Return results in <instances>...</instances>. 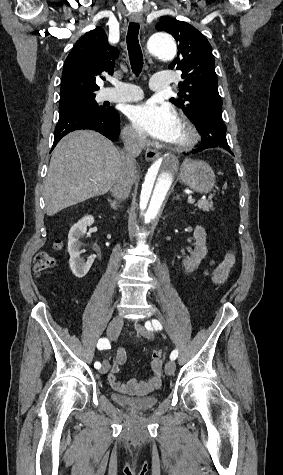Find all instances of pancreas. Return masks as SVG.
<instances>
[{
    "label": "pancreas",
    "instance_id": "pancreas-1",
    "mask_svg": "<svg viewBox=\"0 0 283 475\" xmlns=\"http://www.w3.org/2000/svg\"><path fill=\"white\" fill-rule=\"evenodd\" d=\"M198 208L203 210V212H209V210H214L213 202L211 200H201V202H197Z\"/></svg>",
    "mask_w": 283,
    "mask_h": 475
}]
</instances>
